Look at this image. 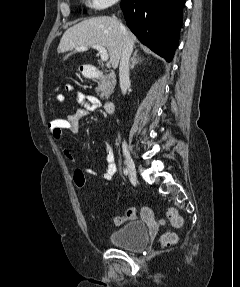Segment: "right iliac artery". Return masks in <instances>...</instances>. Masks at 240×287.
I'll use <instances>...</instances> for the list:
<instances>
[{
  "instance_id": "1",
  "label": "right iliac artery",
  "mask_w": 240,
  "mask_h": 287,
  "mask_svg": "<svg viewBox=\"0 0 240 287\" xmlns=\"http://www.w3.org/2000/svg\"><path fill=\"white\" fill-rule=\"evenodd\" d=\"M127 174H128V170L124 169V175H127Z\"/></svg>"
}]
</instances>
